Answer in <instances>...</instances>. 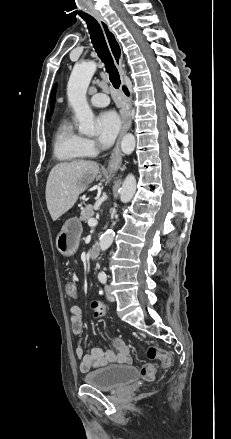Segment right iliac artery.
Here are the masks:
<instances>
[{
    "instance_id": "right-iliac-artery-1",
    "label": "right iliac artery",
    "mask_w": 231,
    "mask_h": 439,
    "mask_svg": "<svg viewBox=\"0 0 231 439\" xmlns=\"http://www.w3.org/2000/svg\"><path fill=\"white\" fill-rule=\"evenodd\" d=\"M103 292H102V290L100 291V294H102Z\"/></svg>"
}]
</instances>
